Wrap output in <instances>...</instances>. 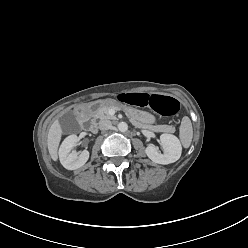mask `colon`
I'll list each match as a JSON object with an SVG mask.
<instances>
[{
	"label": "colon",
	"instance_id": "colon-1",
	"mask_svg": "<svg viewBox=\"0 0 248 248\" xmlns=\"http://www.w3.org/2000/svg\"><path fill=\"white\" fill-rule=\"evenodd\" d=\"M120 100L126 104L149 106L155 112L163 116H173L179 110V103L176 99L164 95H150L144 92L124 93L120 95Z\"/></svg>",
	"mask_w": 248,
	"mask_h": 248
}]
</instances>
